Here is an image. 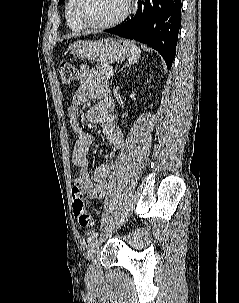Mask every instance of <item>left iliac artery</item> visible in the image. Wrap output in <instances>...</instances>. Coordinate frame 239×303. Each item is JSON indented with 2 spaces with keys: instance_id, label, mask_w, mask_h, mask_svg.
I'll use <instances>...</instances> for the list:
<instances>
[{
  "instance_id": "obj_1",
  "label": "left iliac artery",
  "mask_w": 239,
  "mask_h": 303,
  "mask_svg": "<svg viewBox=\"0 0 239 303\" xmlns=\"http://www.w3.org/2000/svg\"><path fill=\"white\" fill-rule=\"evenodd\" d=\"M98 236V232H93L89 237H88V242L93 241L94 239H96Z\"/></svg>"
}]
</instances>
